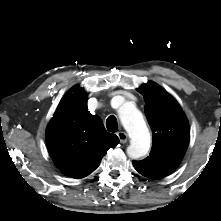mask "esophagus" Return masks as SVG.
<instances>
[{"instance_id": "obj_1", "label": "esophagus", "mask_w": 221, "mask_h": 221, "mask_svg": "<svg viewBox=\"0 0 221 221\" xmlns=\"http://www.w3.org/2000/svg\"><path fill=\"white\" fill-rule=\"evenodd\" d=\"M120 143L124 144L127 142V134L123 131L117 133Z\"/></svg>"}]
</instances>
